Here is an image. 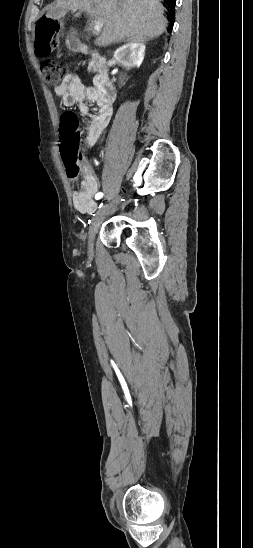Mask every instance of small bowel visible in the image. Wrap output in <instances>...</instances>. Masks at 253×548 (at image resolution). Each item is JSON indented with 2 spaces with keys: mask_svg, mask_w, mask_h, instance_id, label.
I'll return each instance as SVG.
<instances>
[{
  "mask_svg": "<svg viewBox=\"0 0 253 548\" xmlns=\"http://www.w3.org/2000/svg\"><path fill=\"white\" fill-rule=\"evenodd\" d=\"M54 91L64 107L68 108L78 104L87 120L84 153L80 158L82 182L81 187L73 191V204L76 210L81 213H92L96 210L94 196L99 191V181L86 152L96 144L108 126L113 113L112 101L104 98L96 88L86 87L75 74H68L63 83ZM87 102L94 104L95 108L90 109ZM69 177L72 181L77 179L76 176L69 175Z\"/></svg>",
  "mask_w": 253,
  "mask_h": 548,
  "instance_id": "obj_1",
  "label": "small bowel"
}]
</instances>
